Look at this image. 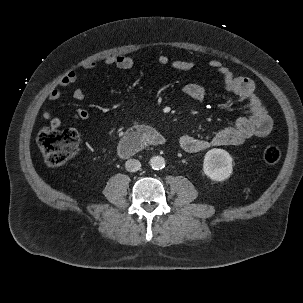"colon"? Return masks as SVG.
Wrapping results in <instances>:
<instances>
[{
  "mask_svg": "<svg viewBox=\"0 0 303 303\" xmlns=\"http://www.w3.org/2000/svg\"><path fill=\"white\" fill-rule=\"evenodd\" d=\"M79 143V135L73 129L60 130L51 126L43 127L37 135V144L48 166L59 168L74 155ZM281 158V151L275 145L263 151V160L275 164Z\"/></svg>",
  "mask_w": 303,
  "mask_h": 303,
  "instance_id": "5ec220e1",
  "label": "colon"
}]
</instances>
